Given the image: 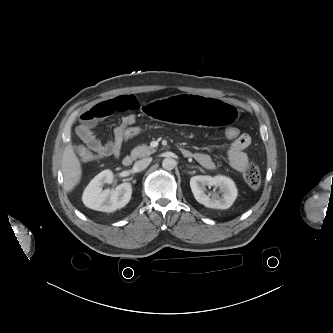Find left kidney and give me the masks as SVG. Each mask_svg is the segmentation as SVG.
<instances>
[{
    "label": "left kidney",
    "instance_id": "1",
    "mask_svg": "<svg viewBox=\"0 0 333 333\" xmlns=\"http://www.w3.org/2000/svg\"><path fill=\"white\" fill-rule=\"evenodd\" d=\"M206 186L219 187L222 196L216 193L208 192ZM190 187L195 199L204 206L214 209H228L232 206L237 198V188L232 179L217 175L211 176H194L190 180Z\"/></svg>",
    "mask_w": 333,
    "mask_h": 333
}]
</instances>
